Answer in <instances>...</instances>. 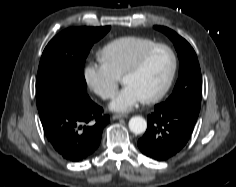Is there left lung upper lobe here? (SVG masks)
<instances>
[{"mask_svg":"<svg viewBox=\"0 0 236 187\" xmlns=\"http://www.w3.org/2000/svg\"><path fill=\"white\" fill-rule=\"evenodd\" d=\"M174 43L180 61L179 78L171 96L163 103L168 108H186L197 114L201 105L202 76L197 55L191 45L173 30L155 26Z\"/></svg>","mask_w":236,"mask_h":187,"instance_id":"1","label":"left lung upper lobe"}]
</instances>
